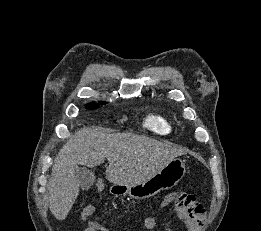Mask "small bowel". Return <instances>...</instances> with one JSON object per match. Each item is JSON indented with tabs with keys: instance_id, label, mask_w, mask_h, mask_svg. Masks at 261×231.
I'll list each match as a JSON object with an SVG mask.
<instances>
[{
	"instance_id": "obj_1",
	"label": "small bowel",
	"mask_w": 261,
	"mask_h": 231,
	"mask_svg": "<svg viewBox=\"0 0 261 231\" xmlns=\"http://www.w3.org/2000/svg\"><path fill=\"white\" fill-rule=\"evenodd\" d=\"M95 211L96 205L94 203H88L83 208L82 219L87 223L84 231H109V229L101 223L90 220V217ZM157 225L158 218L156 216H148L144 221V226L148 230L156 229ZM185 227L187 231H203V224L195 223L190 220H186Z\"/></svg>"
}]
</instances>
